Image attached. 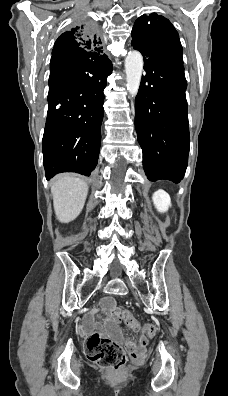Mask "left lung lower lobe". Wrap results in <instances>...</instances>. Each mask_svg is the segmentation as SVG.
<instances>
[{
	"label": "left lung lower lobe",
	"mask_w": 228,
	"mask_h": 396,
	"mask_svg": "<svg viewBox=\"0 0 228 396\" xmlns=\"http://www.w3.org/2000/svg\"><path fill=\"white\" fill-rule=\"evenodd\" d=\"M131 45L144 57L135 100V127L150 181L179 183L185 174L190 146L183 60L153 45Z\"/></svg>",
	"instance_id": "0a47b994"
}]
</instances>
